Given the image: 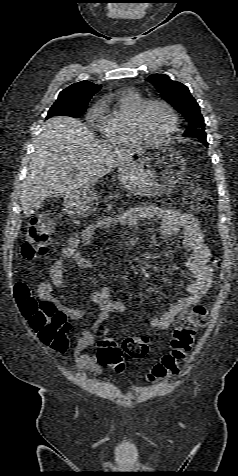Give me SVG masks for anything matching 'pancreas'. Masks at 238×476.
<instances>
[{"label":"pancreas","mask_w":238,"mask_h":476,"mask_svg":"<svg viewBox=\"0 0 238 476\" xmlns=\"http://www.w3.org/2000/svg\"><path fill=\"white\" fill-rule=\"evenodd\" d=\"M113 197H109L108 199L111 200Z\"/></svg>","instance_id":"cf45deb5"}]
</instances>
